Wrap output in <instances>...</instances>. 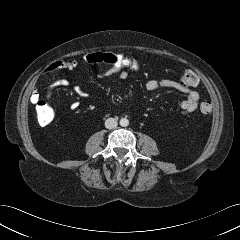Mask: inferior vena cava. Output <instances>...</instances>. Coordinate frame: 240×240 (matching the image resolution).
<instances>
[{
	"label": "inferior vena cava",
	"instance_id": "1",
	"mask_svg": "<svg viewBox=\"0 0 240 240\" xmlns=\"http://www.w3.org/2000/svg\"><path fill=\"white\" fill-rule=\"evenodd\" d=\"M118 125L117 121L114 119V118H108L106 121H105V127L107 129H114L116 128Z\"/></svg>",
	"mask_w": 240,
	"mask_h": 240
}]
</instances>
